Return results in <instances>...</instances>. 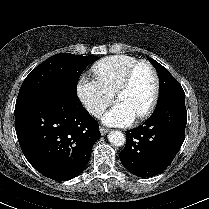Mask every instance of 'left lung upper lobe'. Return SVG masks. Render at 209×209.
Returning a JSON list of instances; mask_svg holds the SVG:
<instances>
[{
    "label": "left lung upper lobe",
    "instance_id": "1",
    "mask_svg": "<svg viewBox=\"0 0 209 209\" xmlns=\"http://www.w3.org/2000/svg\"><path fill=\"white\" fill-rule=\"evenodd\" d=\"M150 61L155 65L159 74L160 92L157 103L169 98L185 97V93L180 83L170 74V72L154 59H150Z\"/></svg>",
    "mask_w": 209,
    "mask_h": 209
}]
</instances>
